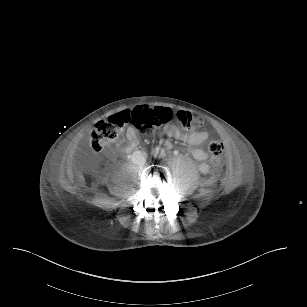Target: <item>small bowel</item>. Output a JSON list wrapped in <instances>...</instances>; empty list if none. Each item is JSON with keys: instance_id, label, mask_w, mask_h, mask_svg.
<instances>
[{"instance_id": "1", "label": "small bowel", "mask_w": 307, "mask_h": 307, "mask_svg": "<svg viewBox=\"0 0 307 307\" xmlns=\"http://www.w3.org/2000/svg\"><path fill=\"white\" fill-rule=\"evenodd\" d=\"M164 131L168 137H171V138H174V139H177L179 141L186 143L190 148V152L192 156L196 160L201 161L199 165V170L202 172L208 171V165L204 162L207 159V153L204 150L197 148L198 145L208 140L209 138L208 132L195 130V131H191L188 133H184L174 125H167ZM126 136L128 140V145H127L128 150L137 146V144L139 143V139H138L135 129L130 128L127 131ZM166 146L170 147L171 145L170 143L167 142Z\"/></svg>"}]
</instances>
